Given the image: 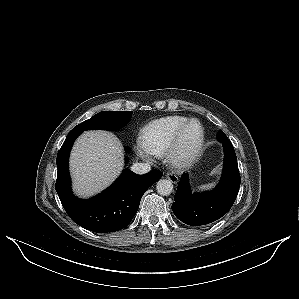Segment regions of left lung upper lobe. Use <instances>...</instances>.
I'll use <instances>...</instances> for the list:
<instances>
[{
    "mask_svg": "<svg viewBox=\"0 0 299 299\" xmlns=\"http://www.w3.org/2000/svg\"><path fill=\"white\" fill-rule=\"evenodd\" d=\"M217 139H218L219 141H222V140H229L228 137L225 135V133H224L222 130H220V131L218 132V134H217Z\"/></svg>",
    "mask_w": 299,
    "mask_h": 299,
    "instance_id": "5c2ea615",
    "label": "left lung upper lobe"
}]
</instances>
